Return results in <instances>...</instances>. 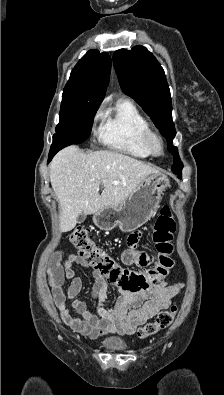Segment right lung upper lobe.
<instances>
[{
  "label": "right lung upper lobe",
  "instance_id": "right-lung-upper-lobe-1",
  "mask_svg": "<svg viewBox=\"0 0 224 395\" xmlns=\"http://www.w3.org/2000/svg\"><path fill=\"white\" fill-rule=\"evenodd\" d=\"M111 70V58L98 50L88 51L76 64L64 90L104 99Z\"/></svg>",
  "mask_w": 224,
  "mask_h": 395
}]
</instances>
